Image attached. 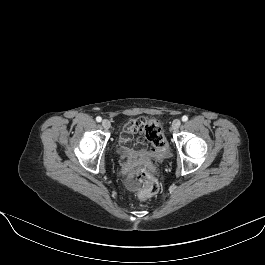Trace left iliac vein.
Masks as SVG:
<instances>
[{
  "label": "left iliac vein",
  "mask_w": 265,
  "mask_h": 265,
  "mask_svg": "<svg viewBox=\"0 0 265 265\" xmlns=\"http://www.w3.org/2000/svg\"><path fill=\"white\" fill-rule=\"evenodd\" d=\"M181 125V121L179 119H175L172 123V129L176 131Z\"/></svg>",
  "instance_id": "left-iliac-vein-1"
}]
</instances>
